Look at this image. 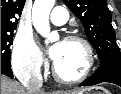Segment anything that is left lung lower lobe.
<instances>
[{"label":"left lung lower lobe","mask_w":121,"mask_h":94,"mask_svg":"<svg viewBox=\"0 0 121 94\" xmlns=\"http://www.w3.org/2000/svg\"><path fill=\"white\" fill-rule=\"evenodd\" d=\"M101 82H110L121 86V63L102 64L88 79L79 86H91Z\"/></svg>","instance_id":"obj_1"}]
</instances>
